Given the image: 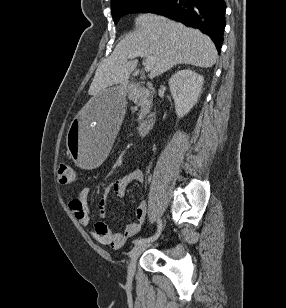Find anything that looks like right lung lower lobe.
Returning <instances> with one entry per match:
<instances>
[{
  "label": "right lung lower lobe",
  "mask_w": 286,
  "mask_h": 308,
  "mask_svg": "<svg viewBox=\"0 0 286 308\" xmlns=\"http://www.w3.org/2000/svg\"><path fill=\"white\" fill-rule=\"evenodd\" d=\"M223 0H168L154 13L200 29L211 37L220 53L225 28Z\"/></svg>",
  "instance_id": "right-lung-lower-lobe-1"
}]
</instances>
